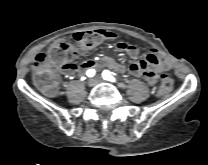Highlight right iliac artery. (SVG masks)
I'll return each mask as SVG.
<instances>
[{
  "label": "right iliac artery",
  "instance_id": "right-iliac-artery-1",
  "mask_svg": "<svg viewBox=\"0 0 208 165\" xmlns=\"http://www.w3.org/2000/svg\"><path fill=\"white\" fill-rule=\"evenodd\" d=\"M95 75V70L94 69H89L88 71H87V76L88 77H93Z\"/></svg>",
  "mask_w": 208,
  "mask_h": 165
}]
</instances>
